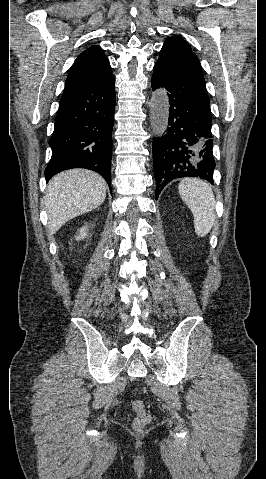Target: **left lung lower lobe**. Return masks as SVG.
<instances>
[{
    "instance_id": "left-lung-lower-lobe-1",
    "label": "left lung lower lobe",
    "mask_w": 266,
    "mask_h": 479,
    "mask_svg": "<svg viewBox=\"0 0 266 479\" xmlns=\"http://www.w3.org/2000/svg\"><path fill=\"white\" fill-rule=\"evenodd\" d=\"M152 89L164 87L169 96V122L161 138H153L156 200L163 188L181 177H200L213 184L215 161L211 110L207 90L156 63Z\"/></svg>"
}]
</instances>
